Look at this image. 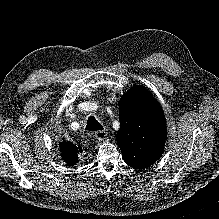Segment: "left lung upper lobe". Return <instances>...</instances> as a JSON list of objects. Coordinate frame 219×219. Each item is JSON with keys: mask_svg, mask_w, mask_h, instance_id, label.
Instances as JSON below:
<instances>
[{"mask_svg": "<svg viewBox=\"0 0 219 219\" xmlns=\"http://www.w3.org/2000/svg\"><path fill=\"white\" fill-rule=\"evenodd\" d=\"M117 143L124 161L135 169L150 167L160 159L166 140L161 107L145 88H131L119 104Z\"/></svg>", "mask_w": 219, "mask_h": 219, "instance_id": "obj_1", "label": "left lung upper lobe"}]
</instances>
